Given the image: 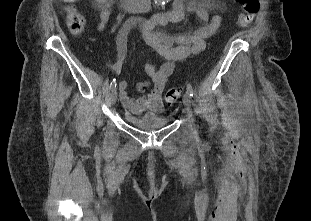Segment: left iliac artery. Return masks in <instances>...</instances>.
<instances>
[{
	"mask_svg": "<svg viewBox=\"0 0 311 221\" xmlns=\"http://www.w3.org/2000/svg\"><path fill=\"white\" fill-rule=\"evenodd\" d=\"M187 93L190 95V97H193L194 96V91H193V88L191 86V84H187Z\"/></svg>",
	"mask_w": 311,
	"mask_h": 221,
	"instance_id": "left-iliac-artery-1",
	"label": "left iliac artery"
}]
</instances>
